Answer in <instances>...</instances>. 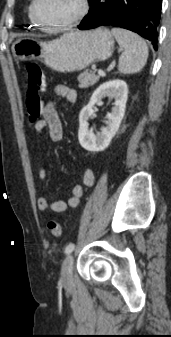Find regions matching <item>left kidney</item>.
Listing matches in <instances>:
<instances>
[{
  "label": "left kidney",
  "instance_id": "5707ae66",
  "mask_svg": "<svg viewBox=\"0 0 171 337\" xmlns=\"http://www.w3.org/2000/svg\"><path fill=\"white\" fill-rule=\"evenodd\" d=\"M127 95V84L125 81L119 79L103 83L94 91L88 105L81 110L79 115L78 139L84 149L91 152H99L109 146L124 117ZM105 96L115 99L114 106L111 113H108L106 116V127H102L101 132L94 135L89 130L88 120L94 116V105Z\"/></svg>",
  "mask_w": 171,
  "mask_h": 337
}]
</instances>
